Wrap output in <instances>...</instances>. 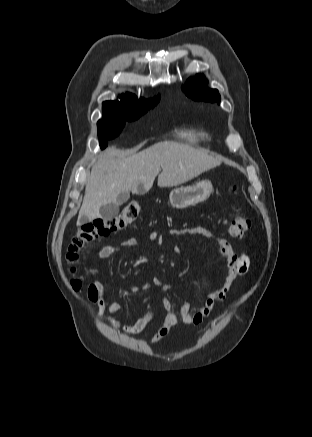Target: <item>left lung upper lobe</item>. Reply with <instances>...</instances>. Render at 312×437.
Here are the masks:
<instances>
[{
    "instance_id": "obj_1",
    "label": "left lung upper lobe",
    "mask_w": 312,
    "mask_h": 437,
    "mask_svg": "<svg viewBox=\"0 0 312 437\" xmlns=\"http://www.w3.org/2000/svg\"><path fill=\"white\" fill-rule=\"evenodd\" d=\"M183 90L193 100L220 104L221 97L218 91L207 88V80L203 75L198 74L195 78L188 80Z\"/></svg>"
}]
</instances>
